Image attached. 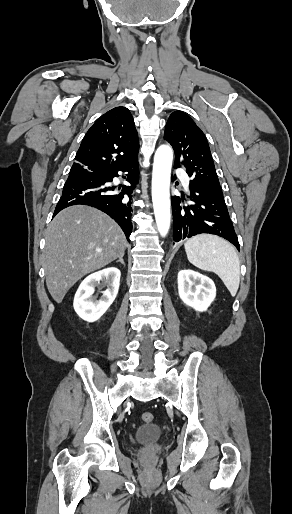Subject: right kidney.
Returning a JSON list of instances; mask_svg holds the SVG:
<instances>
[{"label":"right kidney","instance_id":"1","mask_svg":"<svg viewBox=\"0 0 292 514\" xmlns=\"http://www.w3.org/2000/svg\"><path fill=\"white\" fill-rule=\"evenodd\" d=\"M120 276L121 272L118 268H105V270L87 276L75 294L73 306L76 314L86 322L99 320L113 304L118 294ZM99 282H104V286H108V288L102 292L103 296L100 300H96V296L93 294L95 286H98Z\"/></svg>","mask_w":292,"mask_h":514}]
</instances>
